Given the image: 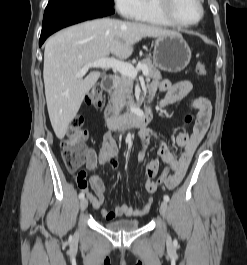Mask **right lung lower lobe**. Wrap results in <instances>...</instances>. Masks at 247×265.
<instances>
[{
	"mask_svg": "<svg viewBox=\"0 0 247 265\" xmlns=\"http://www.w3.org/2000/svg\"><path fill=\"white\" fill-rule=\"evenodd\" d=\"M110 4L95 0H55L48 3L39 46L54 32L85 20L113 14Z\"/></svg>",
	"mask_w": 247,
	"mask_h": 265,
	"instance_id": "right-lung-lower-lobe-1",
	"label": "right lung lower lobe"
}]
</instances>
